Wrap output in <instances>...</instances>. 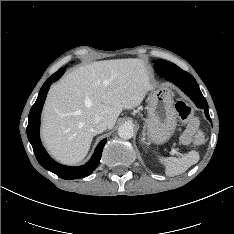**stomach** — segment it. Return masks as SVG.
Returning a JSON list of instances; mask_svg holds the SVG:
<instances>
[{
	"label": "stomach",
	"mask_w": 234,
	"mask_h": 234,
	"mask_svg": "<svg viewBox=\"0 0 234 234\" xmlns=\"http://www.w3.org/2000/svg\"><path fill=\"white\" fill-rule=\"evenodd\" d=\"M148 100V116L144 120L148 139L156 144H163L174 134L177 125V113L170 87L153 88Z\"/></svg>",
	"instance_id": "0dacf381"
}]
</instances>
